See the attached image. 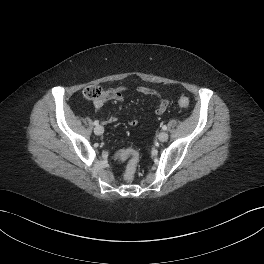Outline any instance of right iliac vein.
<instances>
[{"label": "right iliac vein", "instance_id": "obj_1", "mask_svg": "<svg viewBox=\"0 0 264 264\" xmlns=\"http://www.w3.org/2000/svg\"><path fill=\"white\" fill-rule=\"evenodd\" d=\"M103 132H104V128L100 125H98L94 128V133L96 135H101V134H103Z\"/></svg>", "mask_w": 264, "mask_h": 264}]
</instances>
